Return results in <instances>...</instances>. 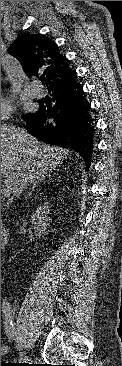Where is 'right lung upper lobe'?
Masks as SVG:
<instances>
[{
	"mask_svg": "<svg viewBox=\"0 0 122 366\" xmlns=\"http://www.w3.org/2000/svg\"><path fill=\"white\" fill-rule=\"evenodd\" d=\"M8 51L21 62L26 73L46 76L47 87L65 83L75 74L57 44L43 34H24Z\"/></svg>",
	"mask_w": 122,
	"mask_h": 366,
	"instance_id": "obj_1",
	"label": "right lung upper lobe"
}]
</instances>
